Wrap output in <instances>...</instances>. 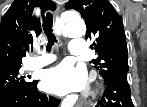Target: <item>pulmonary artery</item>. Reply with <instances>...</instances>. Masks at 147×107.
Returning a JSON list of instances; mask_svg holds the SVG:
<instances>
[{"instance_id": "e3ab8cb5", "label": "pulmonary artery", "mask_w": 147, "mask_h": 107, "mask_svg": "<svg viewBox=\"0 0 147 107\" xmlns=\"http://www.w3.org/2000/svg\"><path fill=\"white\" fill-rule=\"evenodd\" d=\"M86 46V42L83 39H73L70 42V52L73 54H83ZM54 57L51 55H41L32 58L28 64L30 69H38L46 66L54 61Z\"/></svg>"}]
</instances>
